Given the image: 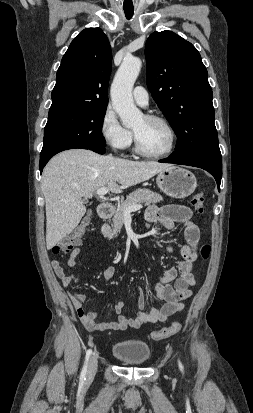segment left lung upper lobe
I'll use <instances>...</instances> for the list:
<instances>
[{
    "label": "left lung upper lobe",
    "mask_w": 253,
    "mask_h": 413,
    "mask_svg": "<svg viewBox=\"0 0 253 413\" xmlns=\"http://www.w3.org/2000/svg\"><path fill=\"white\" fill-rule=\"evenodd\" d=\"M145 57L148 89L177 135L171 156H221L212 89L197 49L174 32H154Z\"/></svg>",
    "instance_id": "5c2ea615"
}]
</instances>
